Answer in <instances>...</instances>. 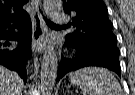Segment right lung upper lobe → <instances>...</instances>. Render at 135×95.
Wrapping results in <instances>:
<instances>
[{"mask_svg": "<svg viewBox=\"0 0 135 95\" xmlns=\"http://www.w3.org/2000/svg\"><path fill=\"white\" fill-rule=\"evenodd\" d=\"M28 0H0V25L21 22L28 14L22 6Z\"/></svg>", "mask_w": 135, "mask_h": 95, "instance_id": "obj_1", "label": "right lung upper lobe"}]
</instances>
